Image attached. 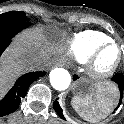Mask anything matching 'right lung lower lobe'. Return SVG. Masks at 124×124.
Masks as SVG:
<instances>
[{
  "mask_svg": "<svg viewBox=\"0 0 124 124\" xmlns=\"http://www.w3.org/2000/svg\"><path fill=\"white\" fill-rule=\"evenodd\" d=\"M31 23L25 22H0V56L9 46L11 39L23 29L29 27ZM46 75L45 72H30L21 76L14 84L13 88L0 101V117L14 112L24 98L29 86L33 81Z\"/></svg>",
  "mask_w": 124,
  "mask_h": 124,
  "instance_id": "98d812e1",
  "label": "right lung lower lobe"
}]
</instances>
